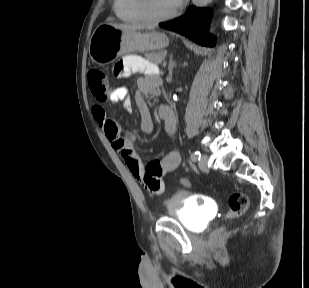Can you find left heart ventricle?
<instances>
[{
	"label": "left heart ventricle",
	"mask_w": 309,
	"mask_h": 288,
	"mask_svg": "<svg viewBox=\"0 0 309 288\" xmlns=\"http://www.w3.org/2000/svg\"><path fill=\"white\" fill-rule=\"evenodd\" d=\"M151 1L153 11L159 15L169 13L177 7L173 0H151Z\"/></svg>",
	"instance_id": "left-heart-ventricle-1"
}]
</instances>
